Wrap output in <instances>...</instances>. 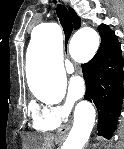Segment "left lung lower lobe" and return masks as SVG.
<instances>
[{
    "mask_svg": "<svg viewBox=\"0 0 124 149\" xmlns=\"http://www.w3.org/2000/svg\"><path fill=\"white\" fill-rule=\"evenodd\" d=\"M100 36L101 44L94 58L82 65L86 83L84 99L93 102L98 110V135L110 139L124 97V60L115 33H105Z\"/></svg>",
    "mask_w": 124,
    "mask_h": 149,
    "instance_id": "1",
    "label": "left lung lower lobe"
}]
</instances>
